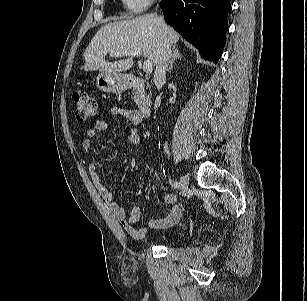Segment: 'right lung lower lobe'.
Listing matches in <instances>:
<instances>
[{
	"label": "right lung lower lobe",
	"instance_id": "98d812e1",
	"mask_svg": "<svg viewBox=\"0 0 307 301\" xmlns=\"http://www.w3.org/2000/svg\"><path fill=\"white\" fill-rule=\"evenodd\" d=\"M164 19L201 56L217 62L223 53L228 31L229 0H162Z\"/></svg>",
	"mask_w": 307,
	"mask_h": 301
}]
</instances>
